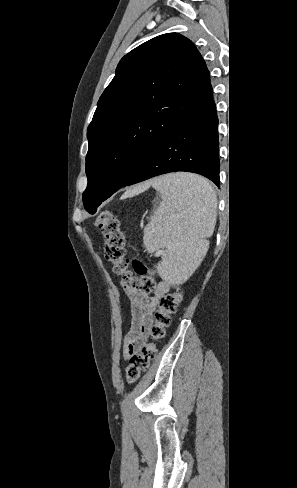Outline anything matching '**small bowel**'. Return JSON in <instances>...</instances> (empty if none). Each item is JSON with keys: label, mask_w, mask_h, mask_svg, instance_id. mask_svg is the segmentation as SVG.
Returning <instances> with one entry per match:
<instances>
[{"label": "small bowel", "mask_w": 297, "mask_h": 488, "mask_svg": "<svg viewBox=\"0 0 297 488\" xmlns=\"http://www.w3.org/2000/svg\"><path fill=\"white\" fill-rule=\"evenodd\" d=\"M124 289L130 301L131 326L125 340V352L130 356L146 341L159 300L170 291L171 284L160 281L152 295L140 293L128 284Z\"/></svg>", "instance_id": "obj_1"}]
</instances>
